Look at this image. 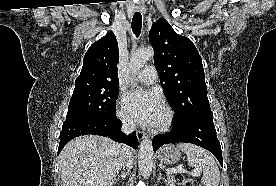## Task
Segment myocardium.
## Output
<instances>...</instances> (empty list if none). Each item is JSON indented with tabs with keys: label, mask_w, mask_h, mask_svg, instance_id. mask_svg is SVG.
Wrapping results in <instances>:
<instances>
[{
	"label": "myocardium",
	"mask_w": 276,
	"mask_h": 186,
	"mask_svg": "<svg viewBox=\"0 0 276 186\" xmlns=\"http://www.w3.org/2000/svg\"><path fill=\"white\" fill-rule=\"evenodd\" d=\"M164 118L161 123L152 125L151 130L153 132H164L171 128L174 120V114L168 106H163Z\"/></svg>",
	"instance_id": "1"
}]
</instances>
